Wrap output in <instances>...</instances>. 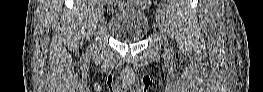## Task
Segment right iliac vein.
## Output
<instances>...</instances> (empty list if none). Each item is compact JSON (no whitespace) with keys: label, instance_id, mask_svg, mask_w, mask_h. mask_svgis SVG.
<instances>
[{"label":"right iliac vein","instance_id":"1","mask_svg":"<svg viewBox=\"0 0 263 92\" xmlns=\"http://www.w3.org/2000/svg\"><path fill=\"white\" fill-rule=\"evenodd\" d=\"M98 5H99V6H98V8H97L96 15H97L98 17H101L102 14H103V6L106 5L105 0L99 1V2H98Z\"/></svg>","mask_w":263,"mask_h":92}]
</instances>
